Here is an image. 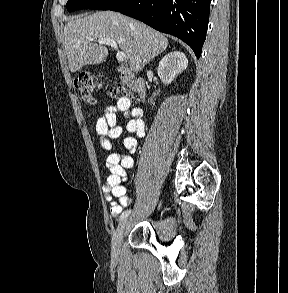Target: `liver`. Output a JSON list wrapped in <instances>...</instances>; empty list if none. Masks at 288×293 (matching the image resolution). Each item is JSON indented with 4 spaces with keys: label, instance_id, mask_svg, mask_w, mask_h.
I'll return each mask as SVG.
<instances>
[{
    "label": "liver",
    "instance_id": "obj_1",
    "mask_svg": "<svg viewBox=\"0 0 288 293\" xmlns=\"http://www.w3.org/2000/svg\"><path fill=\"white\" fill-rule=\"evenodd\" d=\"M101 38L116 41L126 54L133 72L141 71L168 47V40L163 34L120 13L101 11L72 18L64 27V47L71 72L80 70L84 65L106 61L108 49L95 42Z\"/></svg>",
    "mask_w": 288,
    "mask_h": 293
}]
</instances>
